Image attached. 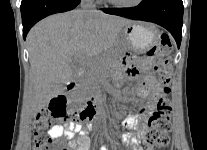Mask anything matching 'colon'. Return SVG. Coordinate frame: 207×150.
Segmentation results:
<instances>
[{
    "instance_id": "5ec220e1",
    "label": "colon",
    "mask_w": 207,
    "mask_h": 150,
    "mask_svg": "<svg viewBox=\"0 0 207 150\" xmlns=\"http://www.w3.org/2000/svg\"><path fill=\"white\" fill-rule=\"evenodd\" d=\"M172 50L171 40L167 35H162L159 42L148 51V56L156 61L155 70L165 94L170 92L172 63L167 58ZM50 107L41 110L34 119V146L33 150H68L57 138L49 135V131L68 118H88L93 115H84L80 112L69 113L66 105L68 100H49ZM172 106L167 97L158 100L156 107L149 117V128L145 132V146L164 147L169 143L171 131Z\"/></svg>"
}]
</instances>
